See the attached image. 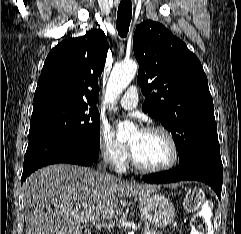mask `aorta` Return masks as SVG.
Here are the masks:
<instances>
[{"mask_svg": "<svg viewBox=\"0 0 241 234\" xmlns=\"http://www.w3.org/2000/svg\"><path fill=\"white\" fill-rule=\"evenodd\" d=\"M138 69V65L135 61H124L114 66L106 90V100L114 102L118 95L129 85L134 78ZM134 125L131 123H118V129L116 136L118 139L129 138Z\"/></svg>", "mask_w": 241, "mask_h": 234, "instance_id": "aorta-1", "label": "aorta"}]
</instances>
